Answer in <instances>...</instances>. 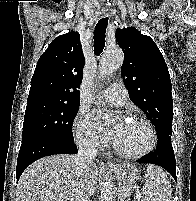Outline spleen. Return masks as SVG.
<instances>
[{"label": "spleen", "mask_w": 196, "mask_h": 201, "mask_svg": "<svg viewBox=\"0 0 196 201\" xmlns=\"http://www.w3.org/2000/svg\"><path fill=\"white\" fill-rule=\"evenodd\" d=\"M147 174L142 201H171L172 189L167 174L155 165L147 166Z\"/></svg>", "instance_id": "3e777b00"}]
</instances>
